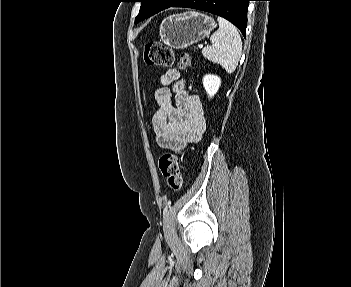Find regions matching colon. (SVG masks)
<instances>
[{
	"label": "colon",
	"instance_id": "obj_1",
	"mask_svg": "<svg viewBox=\"0 0 351 287\" xmlns=\"http://www.w3.org/2000/svg\"><path fill=\"white\" fill-rule=\"evenodd\" d=\"M144 60L151 66L167 67L173 65L175 61L181 69H188L191 66L187 55H182L177 59L171 48L159 42H151L145 45ZM159 167L168 187L172 191L178 192L182 187L178 156L173 153L163 154L159 159Z\"/></svg>",
	"mask_w": 351,
	"mask_h": 287
}]
</instances>
